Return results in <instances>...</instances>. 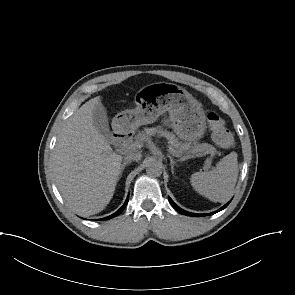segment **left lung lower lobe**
Segmentation results:
<instances>
[{"label": "left lung lower lobe", "instance_id": "obj_1", "mask_svg": "<svg viewBox=\"0 0 295 295\" xmlns=\"http://www.w3.org/2000/svg\"><path fill=\"white\" fill-rule=\"evenodd\" d=\"M170 204L174 207L175 210H177L179 213L181 214H184V215H188V216H194V217H202V216H206V215H211V214H214V213H217L221 210H223L224 208H226L229 204V202L224 205L222 208H220L219 210L213 212V213H209V214H195V213H190V212H187L185 210H182L181 208H179L172 200L171 198H168Z\"/></svg>", "mask_w": 295, "mask_h": 295}]
</instances>
